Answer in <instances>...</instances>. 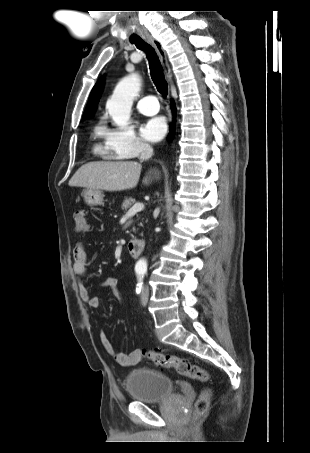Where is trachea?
<instances>
[{
    "label": "trachea",
    "mask_w": 310,
    "mask_h": 453,
    "mask_svg": "<svg viewBox=\"0 0 310 453\" xmlns=\"http://www.w3.org/2000/svg\"><path fill=\"white\" fill-rule=\"evenodd\" d=\"M135 46L146 53L149 61L151 78L160 94L167 96L168 84L165 80L164 72L160 60L151 45L144 40H137L132 42Z\"/></svg>",
    "instance_id": "1"
}]
</instances>
